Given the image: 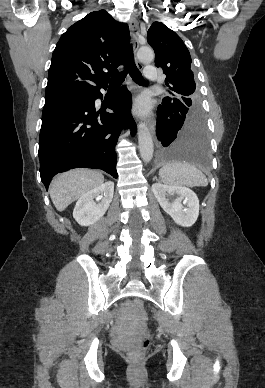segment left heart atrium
<instances>
[{
    "instance_id": "39dd6f15",
    "label": "left heart atrium",
    "mask_w": 265,
    "mask_h": 388,
    "mask_svg": "<svg viewBox=\"0 0 265 388\" xmlns=\"http://www.w3.org/2000/svg\"><path fill=\"white\" fill-rule=\"evenodd\" d=\"M138 108L142 111H146L149 108V103L146 99H143L139 102Z\"/></svg>"
}]
</instances>
